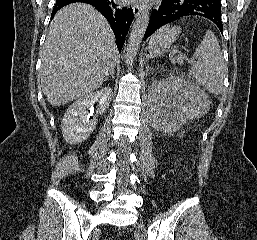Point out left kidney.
I'll use <instances>...</instances> for the list:
<instances>
[{
  "mask_svg": "<svg viewBox=\"0 0 257 240\" xmlns=\"http://www.w3.org/2000/svg\"><path fill=\"white\" fill-rule=\"evenodd\" d=\"M208 106L207 95L180 77L154 82L146 96L151 125L167 133L176 132L188 120L199 118Z\"/></svg>",
  "mask_w": 257,
  "mask_h": 240,
  "instance_id": "left-kidney-1",
  "label": "left kidney"
}]
</instances>
